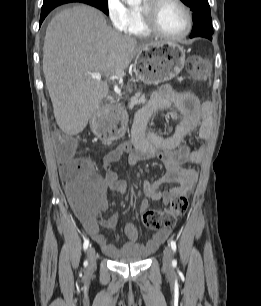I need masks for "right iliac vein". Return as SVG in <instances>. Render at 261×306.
Segmentation results:
<instances>
[{"mask_svg":"<svg viewBox=\"0 0 261 306\" xmlns=\"http://www.w3.org/2000/svg\"><path fill=\"white\" fill-rule=\"evenodd\" d=\"M87 257L89 262V270H94L96 268V252L91 246L88 248Z\"/></svg>","mask_w":261,"mask_h":306,"instance_id":"obj_1","label":"right iliac vein"}]
</instances>
